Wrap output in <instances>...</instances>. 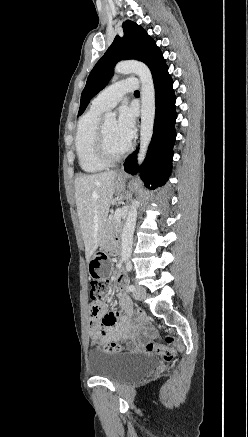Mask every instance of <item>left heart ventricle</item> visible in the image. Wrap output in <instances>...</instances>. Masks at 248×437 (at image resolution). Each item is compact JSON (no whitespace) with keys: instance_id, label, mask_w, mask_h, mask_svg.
I'll list each match as a JSON object with an SVG mask.
<instances>
[{"instance_id":"obj_1","label":"left heart ventricle","mask_w":248,"mask_h":437,"mask_svg":"<svg viewBox=\"0 0 248 437\" xmlns=\"http://www.w3.org/2000/svg\"><path fill=\"white\" fill-rule=\"evenodd\" d=\"M107 146L112 154L122 151L128 144L122 141L116 133V121L109 120L103 123Z\"/></svg>"}]
</instances>
